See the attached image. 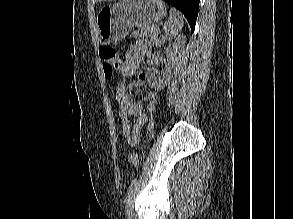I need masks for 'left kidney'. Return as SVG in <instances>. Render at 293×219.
I'll return each instance as SVG.
<instances>
[{
    "label": "left kidney",
    "mask_w": 293,
    "mask_h": 219,
    "mask_svg": "<svg viewBox=\"0 0 293 219\" xmlns=\"http://www.w3.org/2000/svg\"><path fill=\"white\" fill-rule=\"evenodd\" d=\"M172 40H174V42H172V47L168 51L169 59L164 69L161 71V75L155 72H152L151 69H148V72H147V80L150 86L156 90L164 89L167 83L170 82L172 77L173 65L179 61L185 44L181 36L170 35V34L163 35L158 40L155 41L156 46H161L166 41H172Z\"/></svg>",
    "instance_id": "left-kidney-1"
}]
</instances>
